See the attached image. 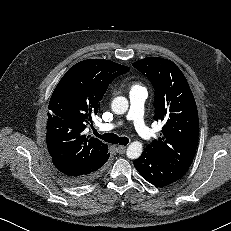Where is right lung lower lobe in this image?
I'll use <instances>...</instances> for the list:
<instances>
[{
    "label": "right lung lower lobe",
    "mask_w": 231,
    "mask_h": 231,
    "mask_svg": "<svg viewBox=\"0 0 231 231\" xmlns=\"http://www.w3.org/2000/svg\"><path fill=\"white\" fill-rule=\"evenodd\" d=\"M110 154L104 158L89 164H68L58 160H52L66 182L76 186H82L93 182L103 171L104 164Z\"/></svg>",
    "instance_id": "1"
}]
</instances>
